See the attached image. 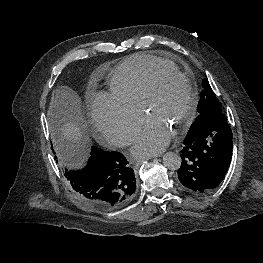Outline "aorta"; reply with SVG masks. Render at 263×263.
I'll return each mask as SVG.
<instances>
[{
	"label": "aorta",
	"mask_w": 263,
	"mask_h": 263,
	"mask_svg": "<svg viewBox=\"0 0 263 263\" xmlns=\"http://www.w3.org/2000/svg\"><path fill=\"white\" fill-rule=\"evenodd\" d=\"M181 158L178 154L167 152L163 155V164L170 170H178L181 166Z\"/></svg>",
	"instance_id": "762f6f07"
}]
</instances>
